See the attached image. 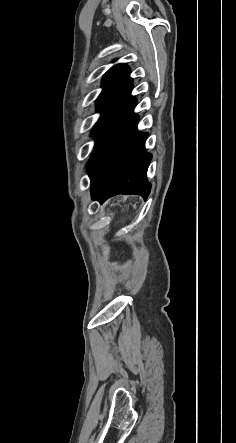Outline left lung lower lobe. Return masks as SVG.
I'll list each match as a JSON object with an SVG mask.
<instances>
[{
    "label": "left lung lower lobe",
    "instance_id": "1",
    "mask_svg": "<svg viewBox=\"0 0 236 443\" xmlns=\"http://www.w3.org/2000/svg\"><path fill=\"white\" fill-rule=\"evenodd\" d=\"M131 88L92 130L97 139L87 169L91 197L100 203L116 194H139L146 199L150 193L146 173L152 156L145 150L148 133L137 131L139 118L133 112L137 100L131 97Z\"/></svg>",
    "mask_w": 236,
    "mask_h": 443
}]
</instances>
